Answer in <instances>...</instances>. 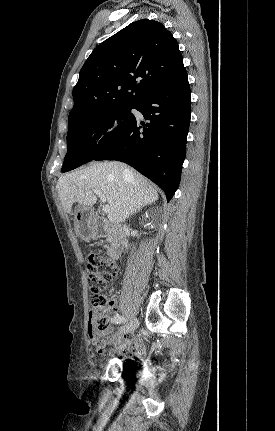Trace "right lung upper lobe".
<instances>
[{
    "mask_svg": "<svg viewBox=\"0 0 275 431\" xmlns=\"http://www.w3.org/2000/svg\"><path fill=\"white\" fill-rule=\"evenodd\" d=\"M185 68L177 41L160 23H131L93 50L73 89L68 124L117 105L136 106Z\"/></svg>",
    "mask_w": 275,
    "mask_h": 431,
    "instance_id": "1",
    "label": "right lung upper lobe"
}]
</instances>
